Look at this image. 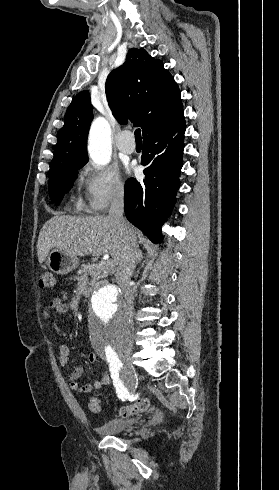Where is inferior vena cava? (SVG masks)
Listing matches in <instances>:
<instances>
[{
    "label": "inferior vena cava",
    "mask_w": 279,
    "mask_h": 490,
    "mask_svg": "<svg viewBox=\"0 0 279 490\" xmlns=\"http://www.w3.org/2000/svg\"><path fill=\"white\" fill-rule=\"evenodd\" d=\"M124 190L118 188L114 190L111 198L110 210L107 216L108 220L112 222L113 226L118 228L122 236L125 238L123 256L119 262H117L115 270V280L122 292V296L127 306V312L129 314V324L131 328L134 326V292L129 284L131 276L136 268V264L139 258V250L137 248L136 238L131 236L130 232H125L127 228V220L124 216Z\"/></svg>",
    "instance_id": "602c4592"
}]
</instances>
